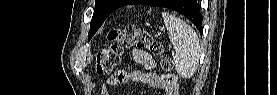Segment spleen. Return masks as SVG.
I'll return each mask as SVG.
<instances>
[{"instance_id": "3e777b00", "label": "spleen", "mask_w": 277, "mask_h": 95, "mask_svg": "<svg viewBox=\"0 0 277 95\" xmlns=\"http://www.w3.org/2000/svg\"><path fill=\"white\" fill-rule=\"evenodd\" d=\"M171 44L175 48L174 66L182 78H190L198 68L200 43L194 29L176 16L162 14Z\"/></svg>"}]
</instances>
